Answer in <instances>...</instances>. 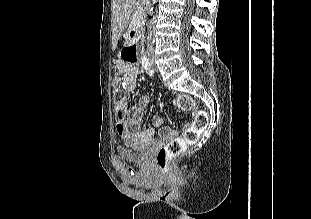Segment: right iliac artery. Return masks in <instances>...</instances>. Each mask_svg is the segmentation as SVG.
<instances>
[{"instance_id": "82829eb1", "label": "right iliac artery", "mask_w": 311, "mask_h": 219, "mask_svg": "<svg viewBox=\"0 0 311 219\" xmlns=\"http://www.w3.org/2000/svg\"><path fill=\"white\" fill-rule=\"evenodd\" d=\"M142 65L145 69L150 67L149 58L146 55L142 58Z\"/></svg>"}]
</instances>
